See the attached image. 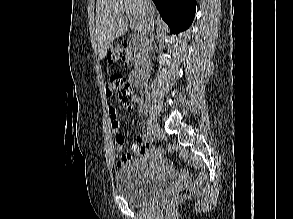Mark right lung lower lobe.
<instances>
[{
  "mask_svg": "<svg viewBox=\"0 0 293 219\" xmlns=\"http://www.w3.org/2000/svg\"><path fill=\"white\" fill-rule=\"evenodd\" d=\"M172 33L188 29L194 19L196 0H153Z\"/></svg>",
  "mask_w": 293,
  "mask_h": 219,
  "instance_id": "1",
  "label": "right lung lower lobe"
}]
</instances>
